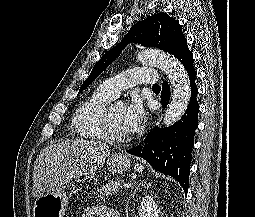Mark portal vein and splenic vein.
I'll return each mask as SVG.
<instances>
[{
	"label": "portal vein and splenic vein",
	"mask_w": 255,
	"mask_h": 217,
	"mask_svg": "<svg viewBox=\"0 0 255 217\" xmlns=\"http://www.w3.org/2000/svg\"><path fill=\"white\" fill-rule=\"evenodd\" d=\"M124 186H125V188H129L130 187V185H128V184H125Z\"/></svg>",
	"instance_id": "1"
}]
</instances>
